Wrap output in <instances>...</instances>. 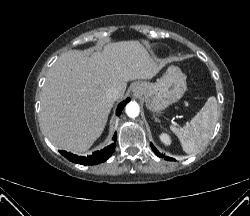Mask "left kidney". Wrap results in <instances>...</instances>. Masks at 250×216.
Returning <instances> with one entry per match:
<instances>
[{
	"mask_svg": "<svg viewBox=\"0 0 250 216\" xmlns=\"http://www.w3.org/2000/svg\"><path fill=\"white\" fill-rule=\"evenodd\" d=\"M160 140L165 144V145H170L171 144V139L170 136L166 133H162L160 136Z\"/></svg>",
	"mask_w": 250,
	"mask_h": 216,
	"instance_id": "5707ae66",
	"label": "left kidney"
}]
</instances>
